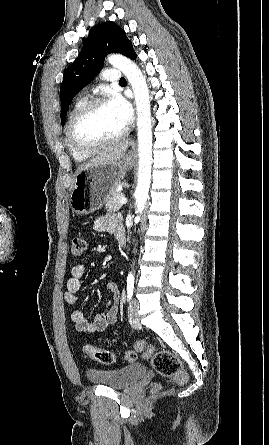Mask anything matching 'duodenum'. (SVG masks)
I'll list each match as a JSON object with an SVG mask.
<instances>
[{
	"instance_id": "1",
	"label": "duodenum",
	"mask_w": 269,
	"mask_h": 445,
	"mask_svg": "<svg viewBox=\"0 0 269 445\" xmlns=\"http://www.w3.org/2000/svg\"><path fill=\"white\" fill-rule=\"evenodd\" d=\"M116 237H117L120 248H124L125 243H126L124 231L119 232Z\"/></svg>"
}]
</instances>
